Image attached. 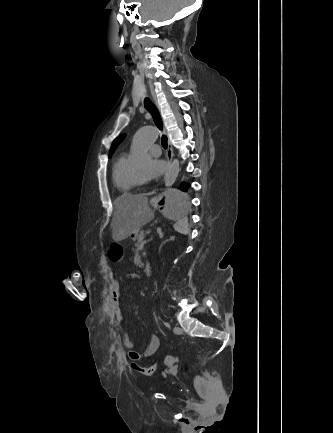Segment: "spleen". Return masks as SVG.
I'll return each instance as SVG.
<instances>
[{
    "mask_svg": "<svg viewBox=\"0 0 333 433\" xmlns=\"http://www.w3.org/2000/svg\"><path fill=\"white\" fill-rule=\"evenodd\" d=\"M174 223V229L175 231L187 235L190 233V228H189V224H188V218L186 215H184V219L183 220H173Z\"/></svg>",
    "mask_w": 333,
    "mask_h": 433,
    "instance_id": "3e777b00",
    "label": "spleen"
}]
</instances>
